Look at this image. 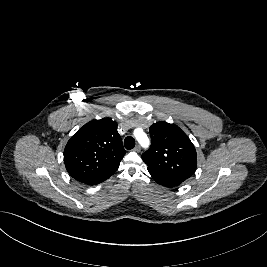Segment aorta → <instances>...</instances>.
<instances>
[{
    "mask_svg": "<svg viewBox=\"0 0 267 267\" xmlns=\"http://www.w3.org/2000/svg\"><path fill=\"white\" fill-rule=\"evenodd\" d=\"M134 135L142 147L146 148L149 146V143H150L149 139H148L147 135L145 133H143L142 130L135 131Z\"/></svg>",
    "mask_w": 267,
    "mask_h": 267,
    "instance_id": "1",
    "label": "aorta"
}]
</instances>
